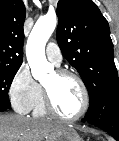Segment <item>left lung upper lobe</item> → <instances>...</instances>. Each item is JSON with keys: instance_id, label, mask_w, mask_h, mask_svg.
<instances>
[{"instance_id": "5c2ea615", "label": "left lung upper lobe", "mask_w": 119, "mask_h": 141, "mask_svg": "<svg viewBox=\"0 0 119 141\" xmlns=\"http://www.w3.org/2000/svg\"><path fill=\"white\" fill-rule=\"evenodd\" d=\"M56 12L58 45L79 72L90 104L119 91L109 25L97 5L91 0H59Z\"/></svg>"}]
</instances>
